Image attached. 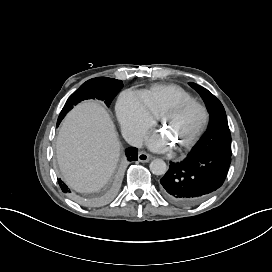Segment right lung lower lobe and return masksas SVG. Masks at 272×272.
Segmentation results:
<instances>
[{"instance_id":"98d812e1","label":"right lung lower lobe","mask_w":272,"mask_h":272,"mask_svg":"<svg viewBox=\"0 0 272 272\" xmlns=\"http://www.w3.org/2000/svg\"><path fill=\"white\" fill-rule=\"evenodd\" d=\"M61 121H57V126L60 124ZM138 149L135 147H130L128 149H126L125 151V155L128 161H136L138 158ZM58 183L61 186V189L63 192L67 193L70 192L69 188L66 186V184H64L61 179H58ZM119 185V179H116L114 181V183L110 186V188L108 189V193L112 194L116 191V189L118 188Z\"/></svg>"}]
</instances>
